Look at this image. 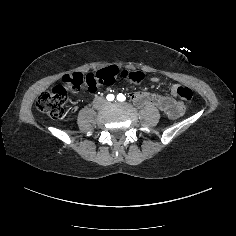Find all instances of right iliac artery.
I'll return each mask as SVG.
<instances>
[{
    "mask_svg": "<svg viewBox=\"0 0 236 236\" xmlns=\"http://www.w3.org/2000/svg\"><path fill=\"white\" fill-rule=\"evenodd\" d=\"M106 98L108 101H113L115 97L113 94H108Z\"/></svg>",
    "mask_w": 236,
    "mask_h": 236,
    "instance_id": "1",
    "label": "right iliac artery"
}]
</instances>
